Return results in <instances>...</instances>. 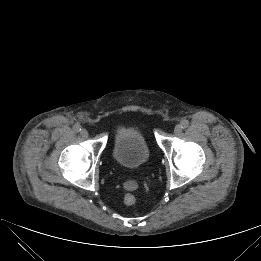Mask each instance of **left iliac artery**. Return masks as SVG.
<instances>
[{"label":"left iliac artery","instance_id":"44dca946","mask_svg":"<svg viewBox=\"0 0 261 261\" xmlns=\"http://www.w3.org/2000/svg\"><path fill=\"white\" fill-rule=\"evenodd\" d=\"M180 125H181L182 129H186L189 126V121L188 120H182Z\"/></svg>","mask_w":261,"mask_h":261}]
</instances>
